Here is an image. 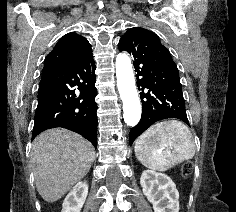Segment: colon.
<instances>
[{
  "instance_id": "5ec220e1",
  "label": "colon",
  "mask_w": 236,
  "mask_h": 212,
  "mask_svg": "<svg viewBox=\"0 0 236 212\" xmlns=\"http://www.w3.org/2000/svg\"><path fill=\"white\" fill-rule=\"evenodd\" d=\"M192 171V165L190 163H186L182 168V173L184 176L190 175Z\"/></svg>"
}]
</instances>
